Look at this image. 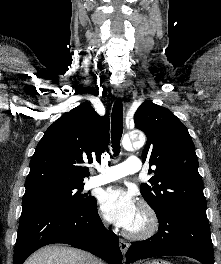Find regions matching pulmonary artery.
<instances>
[{
  "label": "pulmonary artery",
  "mask_w": 221,
  "mask_h": 264,
  "mask_svg": "<svg viewBox=\"0 0 221 264\" xmlns=\"http://www.w3.org/2000/svg\"><path fill=\"white\" fill-rule=\"evenodd\" d=\"M141 162L137 157H129L122 163L99 168V174L86 182L87 188H94L121 179L140 171Z\"/></svg>",
  "instance_id": "1"
}]
</instances>
